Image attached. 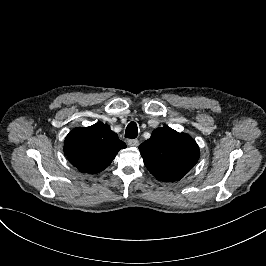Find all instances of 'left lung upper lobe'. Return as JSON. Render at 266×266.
<instances>
[{"label": "left lung upper lobe", "mask_w": 266, "mask_h": 266, "mask_svg": "<svg viewBox=\"0 0 266 266\" xmlns=\"http://www.w3.org/2000/svg\"><path fill=\"white\" fill-rule=\"evenodd\" d=\"M139 150L147 169L163 182L180 180L200 156L199 147L191 136L170 127L155 129Z\"/></svg>", "instance_id": "5c2ea615"}]
</instances>
